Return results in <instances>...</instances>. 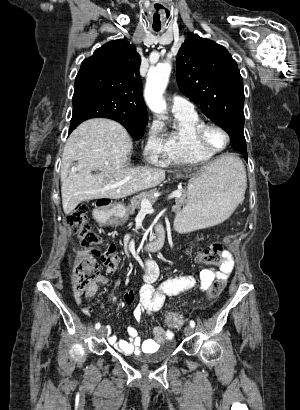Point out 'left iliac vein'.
<instances>
[{
	"label": "left iliac vein",
	"instance_id": "1",
	"mask_svg": "<svg viewBox=\"0 0 300 410\" xmlns=\"http://www.w3.org/2000/svg\"><path fill=\"white\" fill-rule=\"evenodd\" d=\"M193 333V327H191L190 325L186 326L184 329V334L186 336H190Z\"/></svg>",
	"mask_w": 300,
	"mask_h": 410
}]
</instances>
